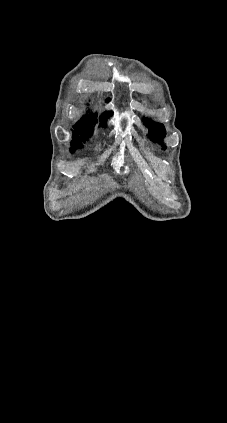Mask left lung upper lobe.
Masks as SVG:
<instances>
[{
	"mask_svg": "<svg viewBox=\"0 0 227 423\" xmlns=\"http://www.w3.org/2000/svg\"><path fill=\"white\" fill-rule=\"evenodd\" d=\"M150 137L154 141H158L165 136V128L163 124L150 122L149 123Z\"/></svg>",
	"mask_w": 227,
	"mask_h": 423,
	"instance_id": "1",
	"label": "left lung upper lobe"
}]
</instances>
